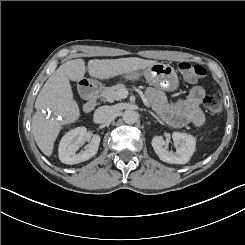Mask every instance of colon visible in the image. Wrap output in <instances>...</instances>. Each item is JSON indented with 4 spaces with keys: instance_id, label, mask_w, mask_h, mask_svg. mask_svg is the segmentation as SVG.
<instances>
[{
    "instance_id": "1",
    "label": "colon",
    "mask_w": 245,
    "mask_h": 245,
    "mask_svg": "<svg viewBox=\"0 0 245 245\" xmlns=\"http://www.w3.org/2000/svg\"><path fill=\"white\" fill-rule=\"evenodd\" d=\"M177 70L190 82H196L206 74V71L202 66L193 65L187 62L179 63L177 65ZM204 104L206 109L213 115L219 114L222 110L221 99L216 95L205 97Z\"/></svg>"
}]
</instances>
